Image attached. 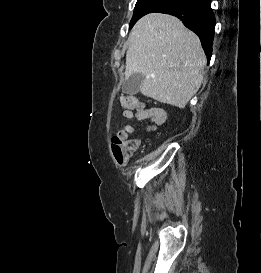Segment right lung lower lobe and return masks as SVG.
<instances>
[{"instance_id":"right-lung-lower-lobe-1","label":"right lung lower lobe","mask_w":261,"mask_h":273,"mask_svg":"<svg viewBox=\"0 0 261 273\" xmlns=\"http://www.w3.org/2000/svg\"><path fill=\"white\" fill-rule=\"evenodd\" d=\"M160 13L178 17L187 28L195 32L210 60L216 21L211 0H167L165 9Z\"/></svg>"}]
</instances>
